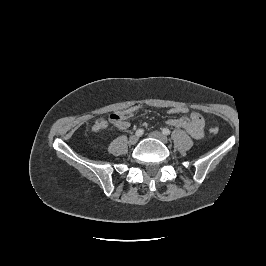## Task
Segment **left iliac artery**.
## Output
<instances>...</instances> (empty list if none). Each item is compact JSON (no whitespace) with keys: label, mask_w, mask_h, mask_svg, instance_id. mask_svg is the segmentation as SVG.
Instances as JSON below:
<instances>
[{"label":"left iliac artery","mask_w":266,"mask_h":266,"mask_svg":"<svg viewBox=\"0 0 266 266\" xmlns=\"http://www.w3.org/2000/svg\"><path fill=\"white\" fill-rule=\"evenodd\" d=\"M162 133L165 134V135H169L171 133V131L168 128H164L162 130Z\"/></svg>","instance_id":"1"}]
</instances>
